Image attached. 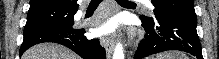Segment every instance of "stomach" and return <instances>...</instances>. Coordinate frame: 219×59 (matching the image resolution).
Wrapping results in <instances>:
<instances>
[{
  "label": "stomach",
  "mask_w": 219,
  "mask_h": 59,
  "mask_svg": "<svg viewBox=\"0 0 219 59\" xmlns=\"http://www.w3.org/2000/svg\"><path fill=\"white\" fill-rule=\"evenodd\" d=\"M165 57H167V56H158L157 59H164ZM168 59H170V58H168Z\"/></svg>",
  "instance_id": "stomach-1"
}]
</instances>
